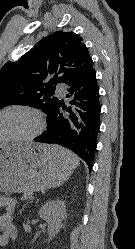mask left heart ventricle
I'll return each instance as SVG.
<instances>
[{
	"label": "left heart ventricle",
	"instance_id": "left-heart-ventricle-1",
	"mask_svg": "<svg viewBox=\"0 0 135 249\" xmlns=\"http://www.w3.org/2000/svg\"><path fill=\"white\" fill-rule=\"evenodd\" d=\"M34 129L33 118L21 111L0 115V139L29 134Z\"/></svg>",
	"mask_w": 135,
	"mask_h": 249
}]
</instances>
